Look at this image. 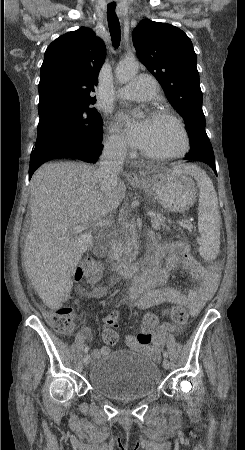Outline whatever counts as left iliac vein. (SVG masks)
I'll return each mask as SVG.
<instances>
[{
	"instance_id": "left-iliac-vein-1",
	"label": "left iliac vein",
	"mask_w": 245,
	"mask_h": 450,
	"mask_svg": "<svg viewBox=\"0 0 245 450\" xmlns=\"http://www.w3.org/2000/svg\"><path fill=\"white\" fill-rule=\"evenodd\" d=\"M169 366H170L169 361L167 359H164L163 360V367H164V369L167 370L169 368Z\"/></svg>"
}]
</instances>
